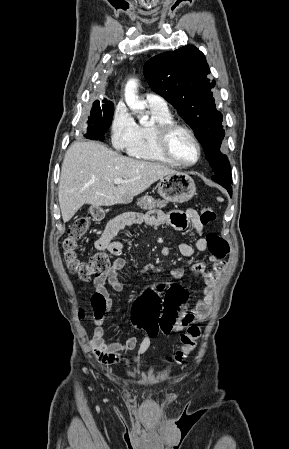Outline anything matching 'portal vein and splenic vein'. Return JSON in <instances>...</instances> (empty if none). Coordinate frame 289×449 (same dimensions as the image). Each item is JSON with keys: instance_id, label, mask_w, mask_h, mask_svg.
Masks as SVG:
<instances>
[{"instance_id": "portal-vein-and-splenic-vein-1", "label": "portal vein and splenic vein", "mask_w": 289, "mask_h": 449, "mask_svg": "<svg viewBox=\"0 0 289 449\" xmlns=\"http://www.w3.org/2000/svg\"><path fill=\"white\" fill-rule=\"evenodd\" d=\"M127 182H129V181L123 180V179H121V178H116V179H114V184H116V185H119V184H121V183H127Z\"/></svg>"}]
</instances>
